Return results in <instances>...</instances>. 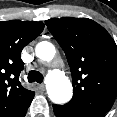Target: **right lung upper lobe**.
<instances>
[{
  "instance_id": "cb5924a9",
  "label": "right lung upper lobe",
  "mask_w": 117,
  "mask_h": 117,
  "mask_svg": "<svg viewBox=\"0 0 117 117\" xmlns=\"http://www.w3.org/2000/svg\"><path fill=\"white\" fill-rule=\"evenodd\" d=\"M44 29L42 22L0 21V117H18L34 98L19 75L23 69L22 49Z\"/></svg>"
}]
</instances>
